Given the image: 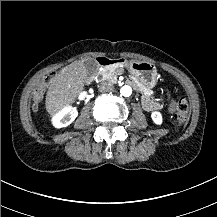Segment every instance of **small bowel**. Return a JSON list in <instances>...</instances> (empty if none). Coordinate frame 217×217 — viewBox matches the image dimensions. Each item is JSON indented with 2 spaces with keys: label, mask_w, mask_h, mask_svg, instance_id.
Returning a JSON list of instances; mask_svg holds the SVG:
<instances>
[{
  "label": "small bowel",
  "mask_w": 217,
  "mask_h": 217,
  "mask_svg": "<svg viewBox=\"0 0 217 217\" xmlns=\"http://www.w3.org/2000/svg\"><path fill=\"white\" fill-rule=\"evenodd\" d=\"M142 105L146 111H157L160 109L159 103H157L151 96L147 95L143 101Z\"/></svg>",
  "instance_id": "obj_1"
}]
</instances>
